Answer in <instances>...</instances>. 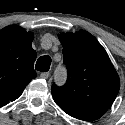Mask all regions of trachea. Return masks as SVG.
Listing matches in <instances>:
<instances>
[{"label": "trachea", "mask_w": 125, "mask_h": 125, "mask_svg": "<svg viewBox=\"0 0 125 125\" xmlns=\"http://www.w3.org/2000/svg\"><path fill=\"white\" fill-rule=\"evenodd\" d=\"M51 58L49 56H42L36 62V70L40 72H47L50 69Z\"/></svg>", "instance_id": "1"}]
</instances>
